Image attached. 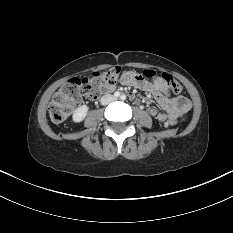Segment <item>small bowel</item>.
I'll return each mask as SVG.
<instances>
[{
	"mask_svg": "<svg viewBox=\"0 0 233 233\" xmlns=\"http://www.w3.org/2000/svg\"><path fill=\"white\" fill-rule=\"evenodd\" d=\"M119 82L122 85H133L152 94L162 111L155 107H149L147 112L160 122L184 117L191 108V103L186 97L171 96L166 85L159 80L149 82L144 79L142 74L126 70L119 77Z\"/></svg>",
	"mask_w": 233,
	"mask_h": 233,
	"instance_id": "1",
	"label": "small bowel"
}]
</instances>
